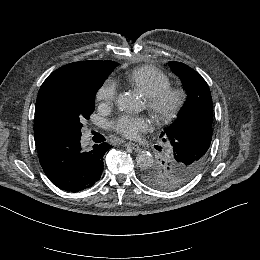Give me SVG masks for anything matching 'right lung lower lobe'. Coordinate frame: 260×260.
<instances>
[{
  "label": "right lung lower lobe",
  "mask_w": 260,
  "mask_h": 260,
  "mask_svg": "<svg viewBox=\"0 0 260 260\" xmlns=\"http://www.w3.org/2000/svg\"><path fill=\"white\" fill-rule=\"evenodd\" d=\"M80 138L58 139L44 153L38 154L46 176L67 192L82 191L100 179L103 156L111 147L101 143L94 145L92 150H84Z\"/></svg>",
  "instance_id": "obj_1"
}]
</instances>
